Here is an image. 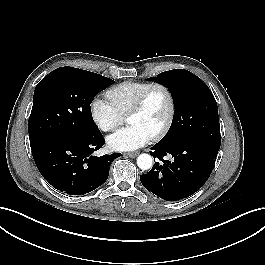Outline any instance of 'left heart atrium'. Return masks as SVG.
Returning <instances> with one entry per match:
<instances>
[{
  "label": "left heart atrium",
  "instance_id": "39dd6f15",
  "mask_svg": "<svg viewBox=\"0 0 265 265\" xmlns=\"http://www.w3.org/2000/svg\"><path fill=\"white\" fill-rule=\"evenodd\" d=\"M152 135L138 125L121 128L107 137L108 147L115 151H133L147 144Z\"/></svg>",
  "mask_w": 265,
  "mask_h": 265
}]
</instances>
